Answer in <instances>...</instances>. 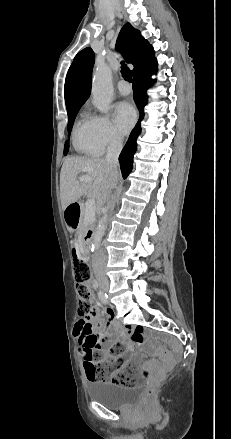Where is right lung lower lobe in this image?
<instances>
[{"mask_svg": "<svg viewBox=\"0 0 231 439\" xmlns=\"http://www.w3.org/2000/svg\"><path fill=\"white\" fill-rule=\"evenodd\" d=\"M157 71V61L156 59L151 62L146 67L142 68L138 72L133 75V97L134 101L137 105V108L140 113L139 120L132 130L129 139L124 146L120 156L119 162L121 167L122 176L125 179L133 168V155L137 149V138L141 133V121L144 118V106L147 104V94L146 90L151 86V83L154 82L150 78L152 74H155Z\"/></svg>", "mask_w": 231, "mask_h": 439, "instance_id": "98d812e1", "label": "right lung lower lobe"}]
</instances>
